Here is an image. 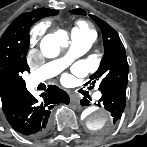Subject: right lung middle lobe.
I'll return each instance as SVG.
<instances>
[{
  "instance_id": "obj_1",
  "label": "right lung middle lobe",
  "mask_w": 147,
  "mask_h": 147,
  "mask_svg": "<svg viewBox=\"0 0 147 147\" xmlns=\"http://www.w3.org/2000/svg\"><path fill=\"white\" fill-rule=\"evenodd\" d=\"M32 25V24H31ZM31 25H28L25 29H24V32L29 35V29H30V26Z\"/></svg>"
}]
</instances>
